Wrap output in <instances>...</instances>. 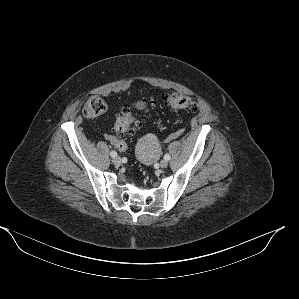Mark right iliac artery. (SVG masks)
Returning a JSON list of instances; mask_svg holds the SVG:
<instances>
[{"instance_id":"obj_1","label":"right iliac artery","mask_w":299,"mask_h":299,"mask_svg":"<svg viewBox=\"0 0 299 299\" xmlns=\"http://www.w3.org/2000/svg\"><path fill=\"white\" fill-rule=\"evenodd\" d=\"M110 155H111L112 157H115V156H117V152H115V151H111V152H110Z\"/></svg>"}]
</instances>
